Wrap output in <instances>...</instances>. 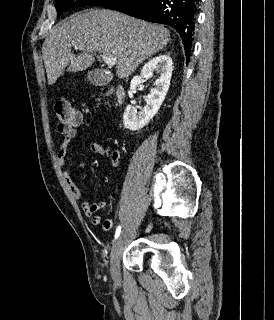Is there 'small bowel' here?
<instances>
[{"label": "small bowel", "instance_id": "1", "mask_svg": "<svg viewBox=\"0 0 274 320\" xmlns=\"http://www.w3.org/2000/svg\"><path fill=\"white\" fill-rule=\"evenodd\" d=\"M75 126L78 128H72L71 130L67 131L63 135L62 143L57 150V163L59 168L61 169L65 181L68 185V188L71 194L77 201L81 202V208L85 216L90 217L91 221L94 225H103V228L106 229L112 228L113 221L110 219H104V217L99 214L98 212L103 210L106 207V202L104 200H99L93 203L87 201L84 197L82 190L78 187V185L73 180L71 174L69 173L68 169L66 168V157L69 150V145L71 142L77 137L78 129L79 131H86L87 129V121L86 119H75L74 121ZM90 150L98 155H105V149L96 142L90 143ZM111 162L114 168H119L121 165V151L115 150L111 155ZM76 167L80 170H84L86 168V164L84 162H77Z\"/></svg>", "mask_w": 274, "mask_h": 320}]
</instances>
